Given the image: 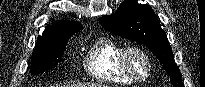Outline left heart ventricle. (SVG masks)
Instances as JSON below:
<instances>
[{
  "instance_id": "b2bd125f",
  "label": "left heart ventricle",
  "mask_w": 205,
  "mask_h": 87,
  "mask_svg": "<svg viewBox=\"0 0 205 87\" xmlns=\"http://www.w3.org/2000/svg\"><path fill=\"white\" fill-rule=\"evenodd\" d=\"M129 65L131 70L138 76L143 77L147 72V63L139 54L132 53L129 56Z\"/></svg>"
}]
</instances>
